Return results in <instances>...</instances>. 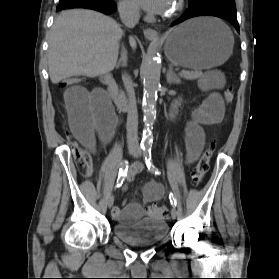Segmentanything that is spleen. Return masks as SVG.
<instances>
[{
  "mask_svg": "<svg viewBox=\"0 0 279 279\" xmlns=\"http://www.w3.org/2000/svg\"><path fill=\"white\" fill-rule=\"evenodd\" d=\"M224 27L232 35L230 29L226 25ZM199 86L202 88H222L224 86L223 76L217 71L206 72L199 80Z\"/></svg>",
  "mask_w": 279,
  "mask_h": 279,
  "instance_id": "obj_1",
  "label": "spleen"
}]
</instances>
